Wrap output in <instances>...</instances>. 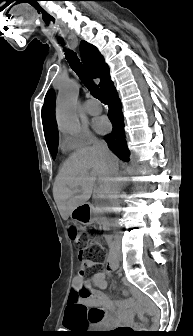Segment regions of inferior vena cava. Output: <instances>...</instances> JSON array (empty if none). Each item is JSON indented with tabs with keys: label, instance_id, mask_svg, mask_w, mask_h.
Wrapping results in <instances>:
<instances>
[{
	"label": "inferior vena cava",
	"instance_id": "obj_1",
	"mask_svg": "<svg viewBox=\"0 0 193 336\" xmlns=\"http://www.w3.org/2000/svg\"><path fill=\"white\" fill-rule=\"evenodd\" d=\"M93 147L103 156L102 160L104 161L105 165H108V170H112L114 174H117L120 170V165L118 162H113L110 158V151L107 144L103 141H96L93 144ZM118 181L119 179L117 177L111 179L110 190L108 194V198L114 207H117L120 204Z\"/></svg>",
	"mask_w": 193,
	"mask_h": 336
}]
</instances>
